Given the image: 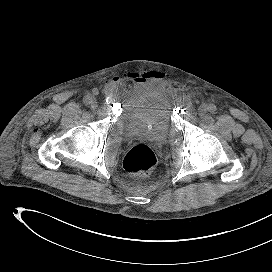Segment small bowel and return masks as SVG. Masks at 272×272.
Instances as JSON below:
<instances>
[{
	"label": "small bowel",
	"mask_w": 272,
	"mask_h": 272,
	"mask_svg": "<svg viewBox=\"0 0 272 272\" xmlns=\"http://www.w3.org/2000/svg\"><path fill=\"white\" fill-rule=\"evenodd\" d=\"M143 77H144L143 75L138 74V73H127V74H124L123 77L113 78V80L111 81V83L109 85H117L124 80H131L133 82L140 83V82L145 81V79Z\"/></svg>",
	"instance_id": "small-bowel-1"
}]
</instances>
